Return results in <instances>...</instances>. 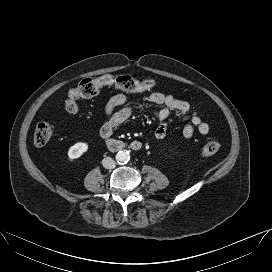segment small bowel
<instances>
[{
    "label": "small bowel",
    "instance_id": "small-bowel-1",
    "mask_svg": "<svg viewBox=\"0 0 272 272\" xmlns=\"http://www.w3.org/2000/svg\"><path fill=\"white\" fill-rule=\"evenodd\" d=\"M146 100L161 106V108L153 112L155 118L158 120V125L155 129L156 138L162 139L166 136L168 120L172 111L190 115L189 121L184 125L182 130L183 136L186 139L193 138L195 134H208L209 125L200 115L192 112V107L189 102L160 92L149 93ZM137 109L138 107L132 104L127 96L121 94L113 96L105 106L106 120L100 129V136L103 139L109 138L113 130L127 121Z\"/></svg>",
    "mask_w": 272,
    "mask_h": 272
}]
</instances>
